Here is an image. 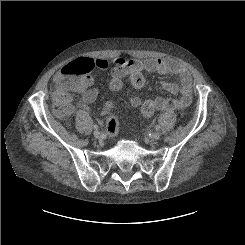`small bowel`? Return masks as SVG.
Wrapping results in <instances>:
<instances>
[{
	"label": "small bowel",
	"mask_w": 245,
	"mask_h": 245,
	"mask_svg": "<svg viewBox=\"0 0 245 245\" xmlns=\"http://www.w3.org/2000/svg\"><path fill=\"white\" fill-rule=\"evenodd\" d=\"M98 70H107L111 66L113 80L120 79L125 75H131L134 72H158L162 74L174 75L179 79V84L164 83L163 88L166 91L176 94L174 98H151L155 104L157 111H169L178 108H185L191 103L192 99V79L188 71L180 64L167 58L147 59L144 61L125 59L121 56H116L111 60V64L104 59L95 60ZM61 71H58L54 77L56 80ZM92 81L82 90L79 104L86 105L94 102L98 96L97 88L90 87ZM133 103L139 106L142 102L139 98H134ZM110 118L116 119L112 114Z\"/></svg>",
	"instance_id": "obj_1"
}]
</instances>
